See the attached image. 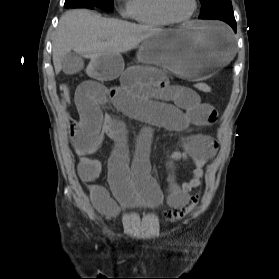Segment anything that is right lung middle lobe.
<instances>
[{"label": "right lung middle lobe", "mask_w": 279, "mask_h": 279, "mask_svg": "<svg viewBox=\"0 0 279 279\" xmlns=\"http://www.w3.org/2000/svg\"><path fill=\"white\" fill-rule=\"evenodd\" d=\"M71 1H75V0H66L65 3H68ZM80 1L87 2L91 5H93L94 7H98L102 10L113 11V0H80Z\"/></svg>", "instance_id": "right-lung-middle-lobe-1"}]
</instances>
